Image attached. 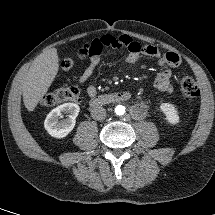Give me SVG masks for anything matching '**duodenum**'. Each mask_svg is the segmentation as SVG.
Here are the masks:
<instances>
[{
	"label": "duodenum",
	"instance_id": "obj_1",
	"mask_svg": "<svg viewBox=\"0 0 215 215\" xmlns=\"http://www.w3.org/2000/svg\"><path fill=\"white\" fill-rule=\"evenodd\" d=\"M130 99V93L127 91L114 92L105 95H99L91 98L90 105L99 107L108 104H118Z\"/></svg>",
	"mask_w": 215,
	"mask_h": 215
}]
</instances>
